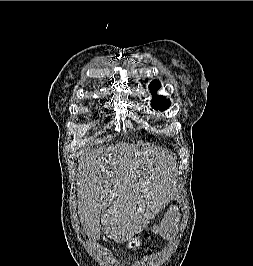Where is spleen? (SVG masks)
<instances>
[{"instance_id": "obj_1", "label": "spleen", "mask_w": 253, "mask_h": 266, "mask_svg": "<svg viewBox=\"0 0 253 266\" xmlns=\"http://www.w3.org/2000/svg\"><path fill=\"white\" fill-rule=\"evenodd\" d=\"M178 228V221L174 220L172 215H165L161 221V234L162 235H176ZM171 239V236H168Z\"/></svg>"}]
</instances>
